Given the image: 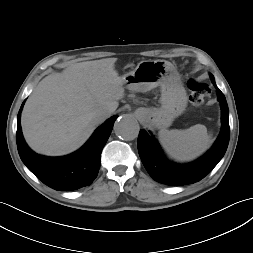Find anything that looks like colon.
<instances>
[{"mask_svg": "<svg viewBox=\"0 0 253 253\" xmlns=\"http://www.w3.org/2000/svg\"><path fill=\"white\" fill-rule=\"evenodd\" d=\"M191 91V102L194 107H200L208 94L210 93L209 85L203 81L191 79L188 83Z\"/></svg>", "mask_w": 253, "mask_h": 253, "instance_id": "obj_1", "label": "colon"}]
</instances>
